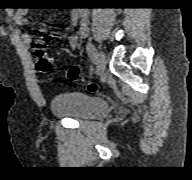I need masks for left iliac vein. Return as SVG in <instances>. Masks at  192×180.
<instances>
[{"mask_svg":"<svg viewBox=\"0 0 192 180\" xmlns=\"http://www.w3.org/2000/svg\"><path fill=\"white\" fill-rule=\"evenodd\" d=\"M106 68V56L103 51H99L96 55V73L102 74Z\"/></svg>","mask_w":192,"mask_h":180,"instance_id":"obj_1","label":"left iliac vein"}]
</instances>
